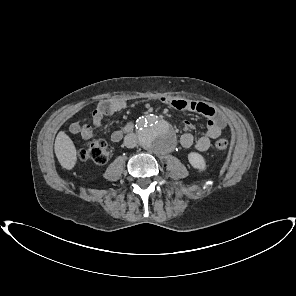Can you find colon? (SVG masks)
I'll list each match as a JSON object with an SVG mask.
<instances>
[{
	"label": "colon",
	"instance_id": "obj_1",
	"mask_svg": "<svg viewBox=\"0 0 296 296\" xmlns=\"http://www.w3.org/2000/svg\"><path fill=\"white\" fill-rule=\"evenodd\" d=\"M229 147V141L221 138L214 143V149L224 151ZM111 156L109 146L104 140L95 139L88 141L79 152V158L83 161H91L96 164H105Z\"/></svg>",
	"mask_w": 296,
	"mask_h": 296
}]
</instances>
